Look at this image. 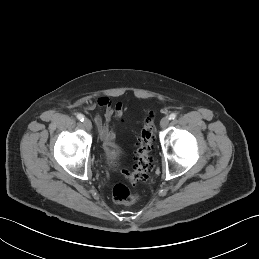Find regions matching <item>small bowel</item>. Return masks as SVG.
Returning <instances> with one entry per match:
<instances>
[{"label":"small bowel","instance_id":"small-bowel-1","mask_svg":"<svg viewBox=\"0 0 259 259\" xmlns=\"http://www.w3.org/2000/svg\"><path fill=\"white\" fill-rule=\"evenodd\" d=\"M90 109L98 108L99 111L95 116V124L100 138L106 144H112L115 140L113 119H120L123 114V104L118 102L113 104L111 99L106 96L99 97L95 101L87 104Z\"/></svg>","mask_w":259,"mask_h":259}]
</instances>
